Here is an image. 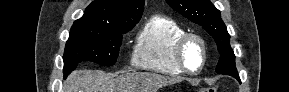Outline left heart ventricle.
<instances>
[{
    "instance_id": "left-heart-ventricle-1",
    "label": "left heart ventricle",
    "mask_w": 289,
    "mask_h": 92,
    "mask_svg": "<svg viewBox=\"0 0 289 92\" xmlns=\"http://www.w3.org/2000/svg\"><path fill=\"white\" fill-rule=\"evenodd\" d=\"M184 60L187 67L196 70L202 61V51L200 45L195 41H190L184 51Z\"/></svg>"
}]
</instances>
